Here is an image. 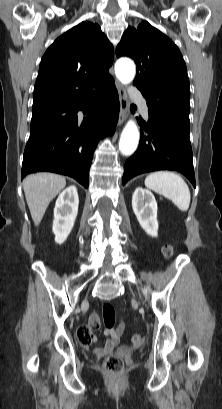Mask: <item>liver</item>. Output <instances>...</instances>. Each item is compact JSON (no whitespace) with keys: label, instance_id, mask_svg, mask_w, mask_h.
<instances>
[{"label":"liver","instance_id":"liver-1","mask_svg":"<svg viewBox=\"0 0 222 409\" xmlns=\"http://www.w3.org/2000/svg\"><path fill=\"white\" fill-rule=\"evenodd\" d=\"M65 186V177L53 173L31 174L24 179L25 198L36 226L41 222L50 202Z\"/></svg>","mask_w":222,"mask_h":409}]
</instances>
